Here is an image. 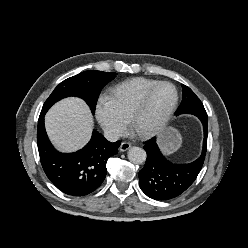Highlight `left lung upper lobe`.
I'll return each mask as SVG.
<instances>
[{"mask_svg":"<svg viewBox=\"0 0 248 248\" xmlns=\"http://www.w3.org/2000/svg\"><path fill=\"white\" fill-rule=\"evenodd\" d=\"M182 89L183 100L178 111L176 112L177 115L184 113H189L196 116L207 114L202 102L195 95V93L189 87L183 84Z\"/></svg>","mask_w":248,"mask_h":248,"instance_id":"left-lung-upper-lobe-1","label":"left lung upper lobe"}]
</instances>
